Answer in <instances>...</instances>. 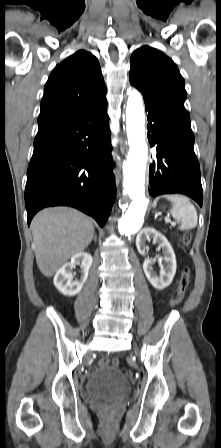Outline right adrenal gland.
I'll list each match as a JSON object with an SVG mask.
<instances>
[{"label":"right adrenal gland","mask_w":221,"mask_h":448,"mask_svg":"<svg viewBox=\"0 0 221 448\" xmlns=\"http://www.w3.org/2000/svg\"><path fill=\"white\" fill-rule=\"evenodd\" d=\"M93 240L96 242L97 241V235L96 233L94 234Z\"/></svg>","instance_id":"obj_1"}]
</instances>
